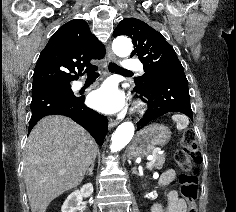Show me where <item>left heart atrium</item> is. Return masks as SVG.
I'll use <instances>...</instances> for the list:
<instances>
[{
    "label": "left heart atrium",
    "instance_id": "1",
    "mask_svg": "<svg viewBox=\"0 0 236 212\" xmlns=\"http://www.w3.org/2000/svg\"><path fill=\"white\" fill-rule=\"evenodd\" d=\"M89 102L98 111L113 114L125 106V95L113 82H105L90 94Z\"/></svg>",
    "mask_w": 236,
    "mask_h": 212
}]
</instances>
